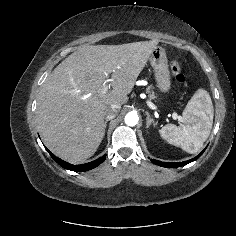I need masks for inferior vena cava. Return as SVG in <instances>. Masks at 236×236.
<instances>
[{"mask_svg": "<svg viewBox=\"0 0 236 236\" xmlns=\"http://www.w3.org/2000/svg\"><path fill=\"white\" fill-rule=\"evenodd\" d=\"M120 110V106L116 104H112L109 107H107L104 111V116L106 120H111L115 118Z\"/></svg>", "mask_w": 236, "mask_h": 236, "instance_id": "602c4592", "label": "inferior vena cava"}]
</instances>
